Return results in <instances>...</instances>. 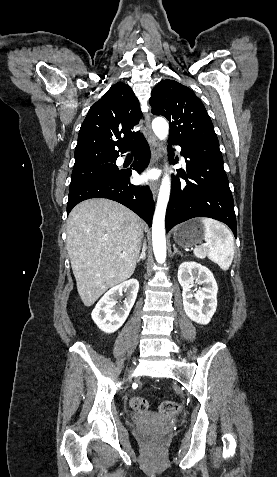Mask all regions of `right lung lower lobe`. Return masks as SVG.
<instances>
[{"label":"right lung lower lobe","instance_id":"right-lung-lower-lobe-1","mask_svg":"<svg viewBox=\"0 0 277 477\" xmlns=\"http://www.w3.org/2000/svg\"><path fill=\"white\" fill-rule=\"evenodd\" d=\"M132 149L135 151L133 169L142 172L150 160V149L143 138ZM116 161V160H115ZM130 170L119 169L97 175L70 188L67 214L79 202L90 198H108L117 201L138 214L149 226L152 225L154 201L148 186L140 187L130 183Z\"/></svg>","mask_w":277,"mask_h":477}]
</instances>
